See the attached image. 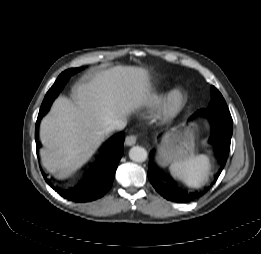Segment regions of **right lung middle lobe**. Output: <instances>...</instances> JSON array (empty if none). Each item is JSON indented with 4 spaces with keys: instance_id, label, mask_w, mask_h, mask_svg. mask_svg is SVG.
Returning <instances> with one entry per match:
<instances>
[{
    "instance_id": "obj_1",
    "label": "right lung middle lobe",
    "mask_w": 261,
    "mask_h": 254,
    "mask_svg": "<svg viewBox=\"0 0 261 254\" xmlns=\"http://www.w3.org/2000/svg\"><path fill=\"white\" fill-rule=\"evenodd\" d=\"M82 70V68H75V69H69L66 70L65 72H63L62 74H60V76L58 77V79L56 80V82L54 83V85L50 88V90L47 92L46 95L52 94V93H57L60 92L63 87L64 84L67 82V80L69 79V76L66 77V79L64 80V83L61 84V81L63 80V77H65L68 73L70 74H74L78 71Z\"/></svg>"
}]
</instances>
